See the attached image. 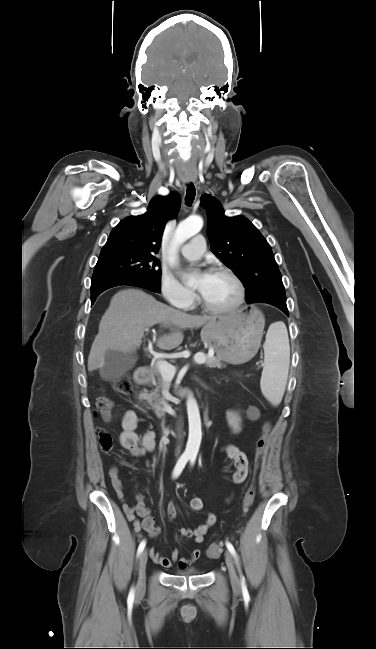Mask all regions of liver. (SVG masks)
I'll return each mask as SVG.
<instances>
[{"instance_id":"obj_1","label":"liver","mask_w":376,"mask_h":649,"mask_svg":"<svg viewBox=\"0 0 376 649\" xmlns=\"http://www.w3.org/2000/svg\"><path fill=\"white\" fill-rule=\"evenodd\" d=\"M215 320L208 316H194L173 309L139 289H125L116 293L103 315L99 331L88 356V371L103 367L107 350L134 352L141 344L145 329L155 324L179 329L200 328ZM183 334L172 332L157 340V347L172 350L183 341Z\"/></svg>"}]
</instances>
